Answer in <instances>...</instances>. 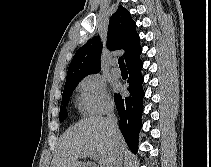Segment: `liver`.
Here are the masks:
<instances>
[{
    "label": "liver",
    "mask_w": 211,
    "mask_h": 167,
    "mask_svg": "<svg viewBox=\"0 0 211 167\" xmlns=\"http://www.w3.org/2000/svg\"><path fill=\"white\" fill-rule=\"evenodd\" d=\"M125 150L120 131L113 134L107 118L93 116L79 121L62 135L50 167H88L77 160L92 152L100 156L99 167H111L116 152Z\"/></svg>",
    "instance_id": "1"
}]
</instances>
